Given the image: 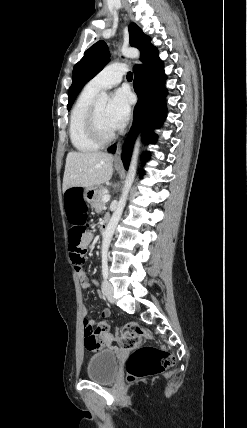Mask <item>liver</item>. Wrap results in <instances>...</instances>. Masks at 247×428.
Returning <instances> with one entry per match:
<instances>
[{"label": "liver", "mask_w": 247, "mask_h": 428, "mask_svg": "<svg viewBox=\"0 0 247 428\" xmlns=\"http://www.w3.org/2000/svg\"><path fill=\"white\" fill-rule=\"evenodd\" d=\"M113 156L106 152H69L63 177V192L73 187L89 188L109 181Z\"/></svg>", "instance_id": "1"}]
</instances>
